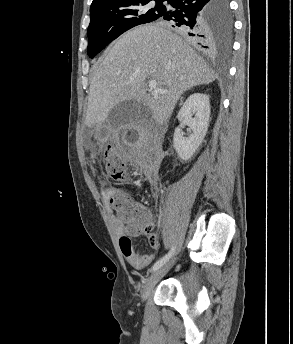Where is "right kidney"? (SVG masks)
I'll list each match as a JSON object with an SVG mask.
<instances>
[{"instance_id":"1","label":"right kidney","mask_w":293,"mask_h":344,"mask_svg":"<svg viewBox=\"0 0 293 344\" xmlns=\"http://www.w3.org/2000/svg\"><path fill=\"white\" fill-rule=\"evenodd\" d=\"M177 118L193 131L188 138L184 137L179 127L174 131L173 146L178 157L187 161L191 159L206 136L210 119L209 96L203 93L190 95L179 110Z\"/></svg>"}]
</instances>
